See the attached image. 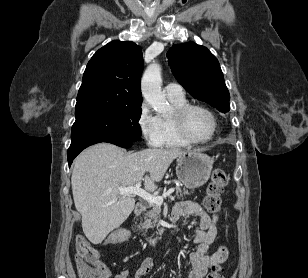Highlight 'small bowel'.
I'll return each mask as SVG.
<instances>
[{
  "mask_svg": "<svg viewBox=\"0 0 308 278\" xmlns=\"http://www.w3.org/2000/svg\"><path fill=\"white\" fill-rule=\"evenodd\" d=\"M173 212L177 218L185 215H197L200 218L199 226L194 236L197 248L189 255L187 265L190 267L189 278H205L210 268L222 264L228 257V249L224 245H220L213 254H207L209 246L215 242L219 235L217 228L218 217L209 215L200 204L192 201L178 203ZM153 266V259L146 258L136 271L134 278H144ZM127 276L128 270L122 269L115 278H127ZM110 277V269L102 264L98 278Z\"/></svg>",
  "mask_w": 308,
  "mask_h": 278,
  "instance_id": "1",
  "label": "small bowel"
}]
</instances>
